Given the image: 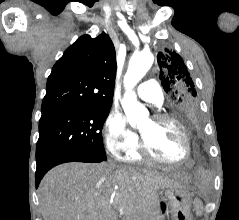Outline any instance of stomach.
<instances>
[{
  "instance_id": "1",
  "label": "stomach",
  "mask_w": 239,
  "mask_h": 220,
  "mask_svg": "<svg viewBox=\"0 0 239 220\" xmlns=\"http://www.w3.org/2000/svg\"><path fill=\"white\" fill-rule=\"evenodd\" d=\"M190 205L191 199L183 187L167 188L158 201L155 217L167 215L164 220H191Z\"/></svg>"
}]
</instances>
